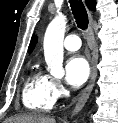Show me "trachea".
<instances>
[{"label": "trachea", "mask_w": 118, "mask_h": 123, "mask_svg": "<svg viewBox=\"0 0 118 123\" xmlns=\"http://www.w3.org/2000/svg\"><path fill=\"white\" fill-rule=\"evenodd\" d=\"M70 6L76 20L77 26L86 31L88 29V15L81 0H70Z\"/></svg>", "instance_id": "obj_1"}]
</instances>
